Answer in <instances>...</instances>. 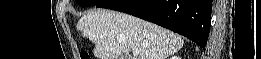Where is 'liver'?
I'll list each match as a JSON object with an SVG mask.
<instances>
[{"label": "liver", "instance_id": "1", "mask_svg": "<svg viewBox=\"0 0 261 59\" xmlns=\"http://www.w3.org/2000/svg\"><path fill=\"white\" fill-rule=\"evenodd\" d=\"M77 29L95 44L97 59H166L178 52L183 39L156 24L113 10L89 11L77 22ZM133 48L139 53L130 55Z\"/></svg>", "mask_w": 261, "mask_h": 59}]
</instances>
